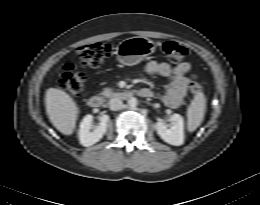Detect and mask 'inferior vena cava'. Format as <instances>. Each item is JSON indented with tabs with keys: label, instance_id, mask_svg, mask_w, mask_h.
<instances>
[{
	"label": "inferior vena cava",
	"instance_id": "602c4592",
	"mask_svg": "<svg viewBox=\"0 0 260 205\" xmlns=\"http://www.w3.org/2000/svg\"><path fill=\"white\" fill-rule=\"evenodd\" d=\"M123 107V102L119 98H112L109 101V108L113 111L120 110Z\"/></svg>",
	"mask_w": 260,
	"mask_h": 205
}]
</instances>
